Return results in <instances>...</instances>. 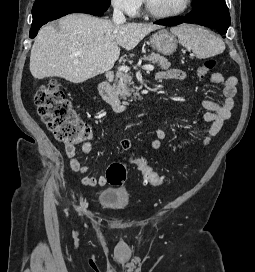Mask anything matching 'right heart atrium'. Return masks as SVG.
<instances>
[{
	"label": "right heart atrium",
	"mask_w": 255,
	"mask_h": 272,
	"mask_svg": "<svg viewBox=\"0 0 255 272\" xmlns=\"http://www.w3.org/2000/svg\"><path fill=\"white\" fill-rule=\"evenodd\" d=\"M113 8L128 16H135L142 5V0H110Z\"/></svg>",
	"instance_id": "1"
}]
</instances>
